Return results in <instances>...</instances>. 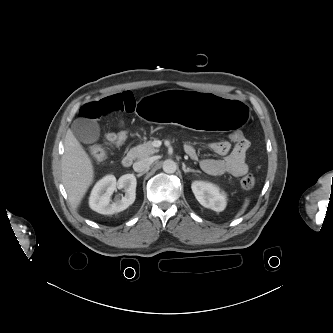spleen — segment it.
<instances>
[{"label":"spleen","mask_w":333,"mask_h":333,"mask_svg":"<svg viewBox=\"0 0 333 333\" xmlns=\"http://www.w3.org/2000/svg\"><path fill=\"white\" fill-rule=\"evenodd\" d=\"M248 204H249V199H245L244 204H243V206H242V209H241L240 212L237 214V217H239L241 214L244 213V211H245V209L247 208Z\"/></svg>","instance_id":"3e777b00"}]
</instances>
